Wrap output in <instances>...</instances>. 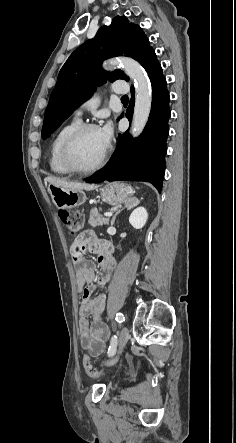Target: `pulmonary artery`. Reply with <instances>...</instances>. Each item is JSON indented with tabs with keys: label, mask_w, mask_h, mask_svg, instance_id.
I'll return each mask as SVG.
<instances>
[{
	"label": "pulmonary artery",
	"mask_w": 236,
	"mask_h": 443,
	"mask_svg": "<svg viewBox=\"0 0 236 443\" xmlns=\"http://www.w3.org/2000/svg\"><path fill=\"white\" fill-rule=\"evenodd\" d=\"M112 89H113L114 93H117V94L123 93L125 91L121 85V82H115L112 86ZM98 103H99V99L97 97H94V98L88 100L87 102L82 104L80 107H78L74 111L75 118L79 119L82 116L84 109L95 108V107H97Z\"/></svg>",
	"instance_id": "e3ab8cb5"
}]
</instances>
